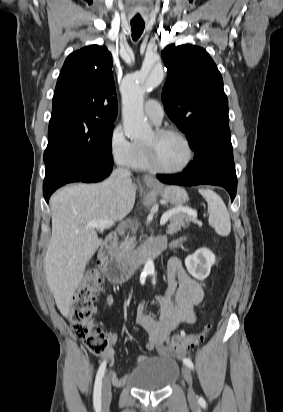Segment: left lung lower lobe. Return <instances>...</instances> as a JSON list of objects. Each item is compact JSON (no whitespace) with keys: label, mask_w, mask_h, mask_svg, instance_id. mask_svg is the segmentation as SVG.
<instances>
[{"label":"left lung lower lobe","mask_w":283,"mask_h":412,"mask_svg":"<svg viewBox=\"0 0 283 412\" xmlns=\"http://www.w3.org/2000/svg\"><path fill=\"white\" fill-rule=\"evenodd\" d=\"M230 160L226 157L221 158L216 153L209 154L207 151L200 150L194 157V161L189 163L187 168L179 174L157 175L163 183L192 186L199 184H210L224 187L230 194L231 201L234 200L237 190Z\"/></svg>","instance_id":"left-lung-lower-lobe-1"}]
</instances>
